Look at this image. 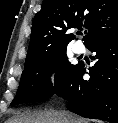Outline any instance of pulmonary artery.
Returning <instances> with one entry per match:
<instances>
[{
    "label": "pulmonary artery",
    "mask_w": 118,
    "mask_h": 123,
    "mask_svg": "<svg viewBox=\"0 0 118 123\" xmlns=\"http://www.w3.org/2000/svg\"><path fill=\"white\" fill-rule=\"evenodd\" d=\"M73 51L77 54H82L85 52V46L82 43H75L73 46Z\"/></svg>",
    "instance_id": "pulmonary-artery-1"
}]
</instances>
